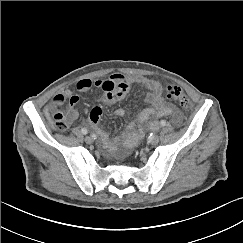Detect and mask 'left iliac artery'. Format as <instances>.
Returning <instances> with one entry per match:
<instances>
[{"label": "left iliac artery", "instance_id": "44dca946", "mask_svg": "<svg viewBox=\"0 0 243 243\" xmlns=\"http://www.w3.org/2000/svg\"><path fill=\"white\" fill-rule=\"evenodd\" d=\"M166 125V121L165 120H161L160 121V126L161 127H164ZM155 137V135L154 134H150V140L152 139V138H154Z\"/></svg>", "mask_w": 243, "mask_h": 243}]
</instances>
